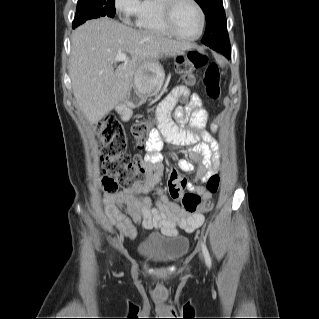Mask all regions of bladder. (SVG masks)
Instances as JSON below:
<instances>
[{
  "instance_id": "1",
  "label": "bladder",
  "mask_w": 319,
  "mask_h": 319,
  "mask_svg": "<svg viewBox=\"0 0 319 319\" xmlns=\"http://www.w3.org/2000/svg\"><path fill=\"white\" fill-rule=\"evenodd\" d=\"M189 246L186 236L148 235L137 247V253L153 266L171 265L179 261Z\"/></svg>"
}]
</instances>
